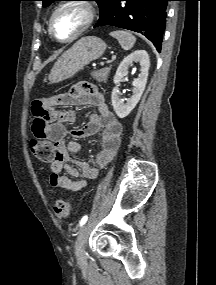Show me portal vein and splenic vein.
<instances>
[{
  "label": "portal vein and splenic vein",
  "instance_id": "obj_1",
  "mask_svg": "<svg viewBox=\"0 0 216 285\" xmlns=\"http://www.w3.org/2000/svg\"><path fill=\"white\" fill-rule=\"evenodd\" d=\"M104 64H105L104 62L101 63V65H104Z\"/></svg>",
  "mask_w": 216,
  "mask_h": 285
}]
</instances>
